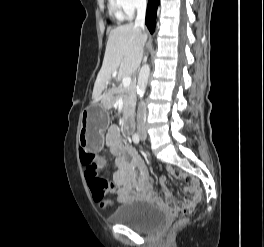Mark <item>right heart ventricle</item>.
Here are the masks:
<instances>
[{
	"instance_id": "right-heart-ventricle-1",
	"label": "right heart ventricle",
	"mask_w": 264,
	"mask_h": 247,
	"mask_svg": "<svg viewBox=\"0 0 264 247\" xmlns=\"http://www.w3.org/2000/svg\"><path fill=\"white\" fill-rule=\"evenodd\" d=\"M110 9H111V12L115 15L116 18H118L120 20L124 18L123 13L115 5L114 0H110Z\"/></svg>"
}]
</instances>
